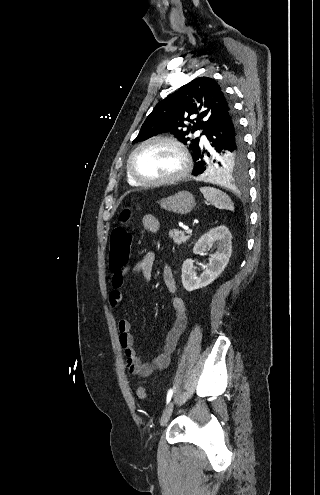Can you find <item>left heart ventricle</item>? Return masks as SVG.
<instances>
[{
  "label": "left heart ventricle",
  "instance_id": "left-heart-ventricle-1",
  "mask_svg": "<svg viewBox=\"0 0 320 495\" xmlns=\"http://www.w3.org/2000/svg\"><path fill=\"white\" fill-rule=\"evenodd\" d=\"M133 167L137 175L144 179H161L176 174L181 168V159L170 144L152 143L137 152Z\"/></svg>",
  "mask_w": 320,
  "mask_h": 495
}]
</instances>
